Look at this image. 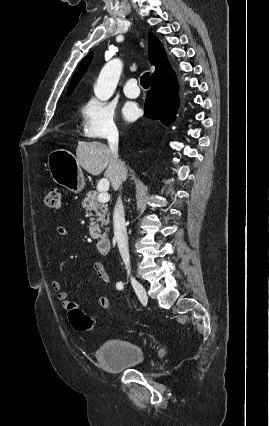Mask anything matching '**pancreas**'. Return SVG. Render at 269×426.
Returning <instances> with one entry per match:
<instances>
[{
  "mask_svg": "<svg viewBox=\"0 0 269 426\" xmlns=\"http://www.w3.org/2000/svg\"><path fill=\"white\" fill-rule=\"evenodd\" d=\"M82 206L86 211L95 212L94 214L90 213L95 218L90 219L89 233L92 238L97 239L100 237V226L103 227L109 223L107 204L99 202L97 193L90 191L83 200Z\"/></svg>",
  "mask_w": 269,
  "mask_h": 426,
  "instance_id": "pancreas-1",
  "label": "pancreas"
}]
</instances>
